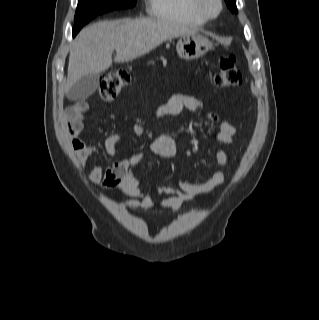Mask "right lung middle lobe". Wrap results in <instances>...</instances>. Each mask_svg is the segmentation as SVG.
Instances as JSON below:
<instances>
[{"mask_svg":"<svg viewBox=\"0 0 319 320\" xmlns=\"http://www.w3.org/2000/svg\"><path fill=\"white\" fill-rule=\"evenodd\" d=\"M135 4L136 0H79L73 32H79L84 24L99 14L116 9L131 8Z\"/></svg>","mask_w":319,"mask_h":320,"instance_id":"right-lung-middle-lobe-1","label":"right lung middle lobe"}]
</instances>
